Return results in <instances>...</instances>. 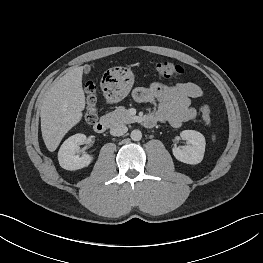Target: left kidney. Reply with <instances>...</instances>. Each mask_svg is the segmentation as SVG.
Wrapping results in <instances>:
<instances>
[{"instance_id":"obj_1","label":"left kidney","mask_w":263,"mask_h":263,"mask_svg":"<svg viewBox=\"0 0 263 263\" xmlns=\"http://www.w3.org/2000/svg\"><path fill=\"white\" fill-rule=\"evenodd\" d=\"M183 140H187L188 145L183 149L173 147L174 157L187 164H198L202 161L205 152V137L195 130H184L180 133Z\"/></svg>"}]
</instances>
